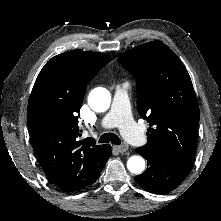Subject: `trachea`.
I'll return each mask as SVG.
<instances>
[{
    "instance_id": "3493384b",
    "label": "trachea",
    "mask_w": 221,
    "mask_h": 221,
    "mask_svg": "<svg viewBox=\"0 0 221 221\" xmlns=\"http://www.w3.org/2000/svg\"><path fill=\"white\" fill-rule=\"evenodd\" d=\"M109 142L115 145L121 144L120 138L114 133H105L99 139V143H109Z\"/></svg>"
}]
</instances>
